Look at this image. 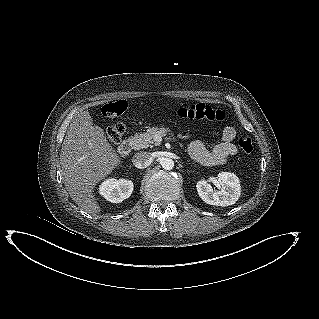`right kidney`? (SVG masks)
<instances>
[{
  "mask_svg": "<svg viewBox=\"0 0 319 319\" xmlns=\"http://www.w3.org/2000/svg\"><path fill=\"white\" fill-rule=\"evenodd\" d=\"M131 180L110 178L100 185V194L112 203H119L129 198L133 192Z\"/></svg>",
  "mask_w": 319,
  "mask_h": 319,
  "instance_id": "1",
  "label": "right kidney"
}]
</instances>
